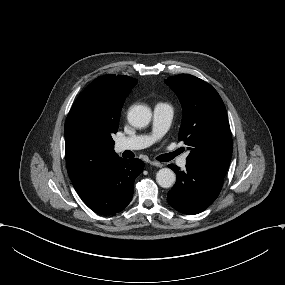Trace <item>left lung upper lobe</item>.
Returning a JSON list of instances; mask_svg holds the SVG:
<instances>
[{
    "mask_svg": "<svg viewBox=\"0 0 285 285\" xmlns=\"http://www.w3.org/2000/svg\"><path fill=\"white\" fill-rule=\"evenodd\" d=\"M182 106L179 140L188 145L187 164L224 178L233 150L226 108L205 81L180 74L165 80Z\"/></svg>",
    "mask_w": 285,
    "mask_h": 285,
    "instance_id": "5c2ea615",
    "label": "left lung upper lobe"
}]
</instances>
